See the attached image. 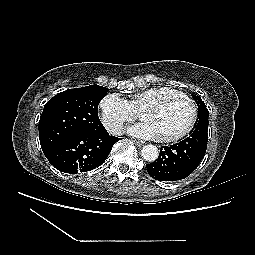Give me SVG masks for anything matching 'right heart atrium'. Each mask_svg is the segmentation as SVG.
I'll list each match as a JSON object with an SVG mask.
<instances>
[{"mask_svg":"<svg viewBox=\"0 0 255 255\" xmlns=\"http://www.w3.org/2000/svg\"><path fill=\"white\" fill-rule=\"evenodd\" d=\"M99 107L102 123L111 133H120L125 123L132 122L137 117L129 102L118 94L106 95Z\"/></svg>","mask_w":255,"mask_h":255,"instance_id":"obj_1","label":"right heart atrium"}]
</instances>
